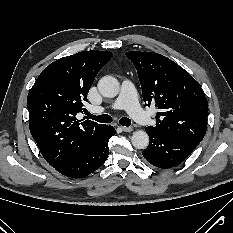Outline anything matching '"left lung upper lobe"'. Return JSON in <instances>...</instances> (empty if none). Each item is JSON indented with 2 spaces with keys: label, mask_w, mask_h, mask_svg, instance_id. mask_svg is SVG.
I'll use <instances>...</instances> for the list:
<instances>
[{
  "label": "left lung upper lobe",
  "mask_w": 233,
  "mask_h": 233,
  "mask_svg": "<svg viewBox=\"0 0 233 233\" xmlns=\"http://www.w3.org/2000/svg\"><path fill=\"white\" fill-rule=\"evenodd\" d=\"M126 56L139 75L146 106L159 109L152 129L199 144L206 133L208 103L199 83L182 67L154 52L130 51Z\"/></svg>",
  "instance_id": "left-lung-upper-lobe-1"
}]
</instances>
